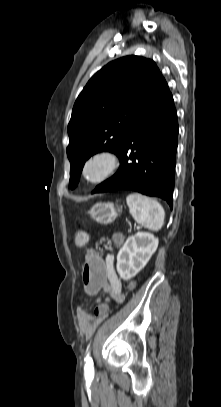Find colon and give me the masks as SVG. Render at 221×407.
Masks as SVG:
<instances>
[{
	"label": "colon",
	"instance_id": "obj_1",
	"mask_svg": "<svg viewBox=\"0 0 221 407\" xmlns=\"http://www.w3.org/2000/svg\"><path fill=\"white\" fill-rule=\"evenodd\" d=\"M115 241L121 242V237L116 236ZM105 258H102L100 252H94L92 249L87 251L86 261L84 262V271H82L83 291L84 292H103L104 286L108 285V268ZM129 291L136 289L134 282L127 284ZM96 314L98 318H105L110 312L107 304L96 305Z\"/></svg>",
	"mask_w": 221,
	"mask_h": 407
}]
</instances>
